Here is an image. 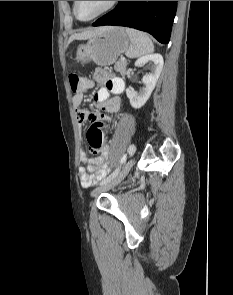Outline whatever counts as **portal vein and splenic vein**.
I'll return each mask as SVG.
<instances>
[{"label":"portal vein and splenic vein","instance_id":"18ae733b","mask_svg":"<svg viewBox=\"0 0 233 295\" xmlns=\"http://www.w3.org/2000/svg\"><path fill=\"white\" fill-rule=\"evenodd\" d=\"M120 60L124 61V60H125V58H124V57H121V59H120Z\"/></svg>","mask_w":233,"mask_h":295}]
</instances>
